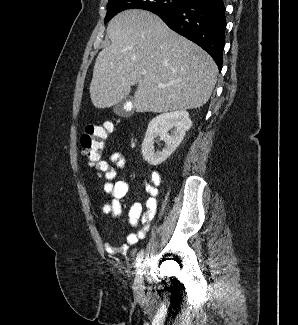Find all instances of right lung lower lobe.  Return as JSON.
Returning a JSON list of instances; mask_svg holds the SVG:
<instances>
[{"mask_svg":"<svg viewBox=\"0 0 298 325\" xmlns=\"http://www.w3.org/2000/svg\"><path fill=\"white\" fill-rule=\"evenodd\" d=\"M155 14L172 30L207 51L221 71L226 29L223 0H190L178 9Z\"/></svg>","mask_w":298,"mask_h":325,"instance_id":"obj_1","label":"right lung lower lobe"}]
</instances>
